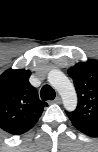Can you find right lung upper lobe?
Listing matches in <instances>:
<instances>
[{
	"label": "right lung upper lobe",
	"instance_id": "cb5924a9",
	"mask_svg": "<svg viewBox=\"0 0 98 152\" xmlns=\"http://www.w3.org/2000/svg\"><path fill=\"white\" fill-rule=\"evenodd\" d=\"M30 70L8 69L0 75V128L12 135L31 129L48 104L38 98Z\"/></svg>",
	"mask_w": 98,
	"mask_h": 152
}]
</instances>
